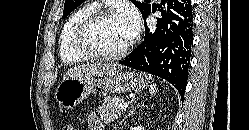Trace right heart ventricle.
Here are the masks:
<instances>
[{
	"instance_id": "1",
	"label": "right heart ventricle",
	"mask_w": 249,
	"mask_h": 130,
	"mask_svg": "<svg viewBox=\"0 0 249 130\" xmlns=\"http://www.w3.org/2000/svg\"><path fill=\"white\" fill-rule=\"evenodd\" d=\"M95 9L94 4H85L76 9L63 24L59 36V53L64 63L72 64L87 58L76 49L75 36L81 21Z\"/></svg>"
}]
</instances>
